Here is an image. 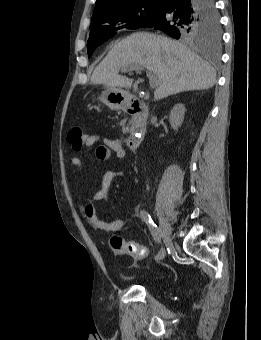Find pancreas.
<instances>
[{
    "mask_svg": "<svg viewBox=\"0 0 261 340\" xmlns=\"http://www.w3.org/2000/svg\"><path fill=\"white\" fill-rule=\"evenodd\" d=\"M127 131H126V129H123V133H126Z\"/></svg>",
    "mask_w": 261,
    "mask_h": 340,
    "instance_id": "cf45deb5",
    "label": "pancreas"
}]
</instances>
